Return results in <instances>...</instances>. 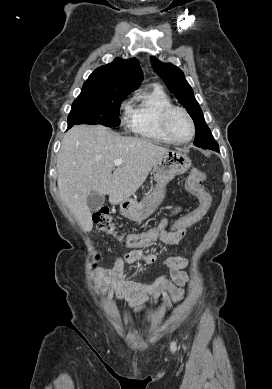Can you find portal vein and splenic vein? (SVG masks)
Masks as SVG:
<instances>
[{
  "mask_svg": "<svg viewBox=\"0 0 272 389\" xmlns=\"http://www.w3.org/2000/svg\"><path fill=\"white\" fill-rule=\"evenodd\" d=\"M122 163H123V160H121V159H115V160H114V166H115V167L120 166Z\"/></svg>",
  "mask_w": 272,
  "mask_h": 389,
  "instance_id": "obj_1",
  "label": "portal vein and splenic vein"
}]
</instances>
